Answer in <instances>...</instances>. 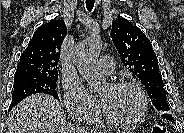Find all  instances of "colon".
I'll return each mask as SVG.
<instances>
[{
    "label": "colon",
    "instance_id": "1",
    "mask_svg": "<svg viewBox=\"0 0 184 133\" xmlns=\"http://www.w3.org/2000/svg\"><path fill=\"white\" fill-rule=\"evenodd\" d=\"M152 133H168V130L165 126L163 125H156L153 130Z\"/></svg>",
    "mask_w": 184,
    "mask_h": 133
}]
</instances>
